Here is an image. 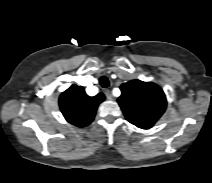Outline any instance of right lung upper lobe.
I'll use <instances>...</instances> for the list:
<instances>
[{
	"mask_svg": "<svg viewBox=\"0 0 212 183\" xmlns=\"http://www.w3.org/2000/svg\"><path fill=\"white\" fill-rule=\"evenodd\" d=\"M104 100L102 93L90 97L83 87L72 85L60 95L59 105L69 123L84 127L93 121L98 105Z\"/></svg>",
	"mask_w": 212,
	"mask_h": 183,
	"instance_id": "right-lung-upper-lobe-1",
	"label": "right lung upper lobe"
}]
</instances>
